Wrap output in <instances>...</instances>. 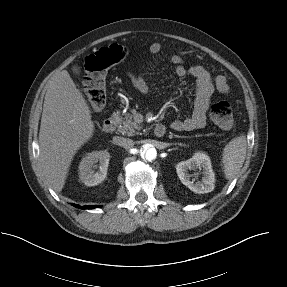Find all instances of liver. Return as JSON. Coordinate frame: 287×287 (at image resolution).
<instances>
[{
  "instance_id": "6515ba94",
  "label": "liver",
  "mask_w": 287,
  "mask_h": 287,
  "mask_svg": "<svg viewBox=\"0 0 287 287\" xmlns=\"http://www.w3.org/2000/svg\"><path fill=\"white\" fill-rule=\"evenodd\" d=\"M93 132L85 98L62 70L48 83L39 132L42 171L56 192L63 189L74 155Z\"/></svg>"
}]
</instances>
